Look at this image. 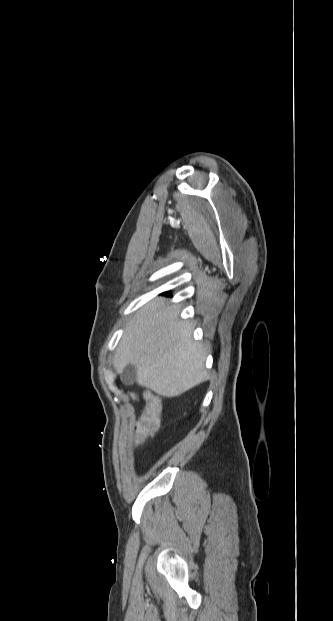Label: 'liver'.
I'll return each instance as SVG.
<instances>
[{
	"mask_svg": "<svg viewBox=\"0 0 333 621\" xmlns=\"http://www.w3.org/2000/svg\"><path fill=\"white\" fill-rule=\"evenodd\" d=\"M179 312L165 298L147 303L126 325L113 360L117 371L134 365L138 385L168 398L207 378V349L193 341L191 325Z\"/></svg>",
	"mask_w": 333,
	"mask_h": 621,
	"instance_id": "liver-1",
	"label": "liver"
}]
</instances>
